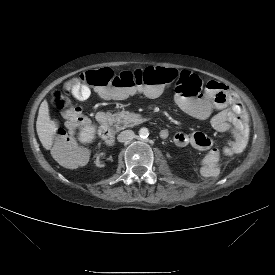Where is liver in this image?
Instances as JSON below:
<instances>
[{
  "label": "liver",
  "instance_id": "obj_1",
  "mask_svg": "<svg viewBox=\"0 0 275 275\" xmlns=\"http://www.w3.org/2000/svg\"><path fill=\"white\" fill-rule=\"evenodd\" d=\"M58 128V122L56 120H51L50 118L48 102L46 100L43 101L38 112L36 130L40 142L45 149H51L54 135ZM96 129V125L92 124L90 120H86L83 127L80 129L78 140L82 144L92 143L96 138Z\"/></svg>",
  "mask_w": 275,
  "mask_h": 275
}]
</instances>
